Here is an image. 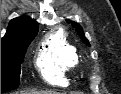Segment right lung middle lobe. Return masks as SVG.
<instances>
[{
    "mask_svg": "<svg viewBox=\"0 0 121 94\" xmlns=\"http://www.w3.org/2000/svg\"><path fill=\"white\" fill-rule=\"evenodd\" d=\"M37 32L8 44H1V93L16 89L26 49Z\"/></svg>",
    "mask_w": 121,
    "mask_h": 94,
    "instance_id": "1",
    "label": "right lung middle lobe"
}]
</instances>
